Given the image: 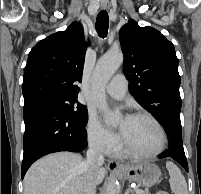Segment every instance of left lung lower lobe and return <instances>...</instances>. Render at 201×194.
Segmentation results:
<instances>
[{
    "mask_svg": "<svg viewBox=\"0 0 201 194\" xmlns=\"http://www.w3.org/2000/svg\"><path fill=\"white\" fill-rule=\"evenodd\" d=\"M169 136V149L159 155L160 158L171 157L177 161L186 171L188 164L182 142V128L179 117L169 116L161 123Z\"/></svg>",
    "mask_w": 201,
    "mask_h": 194,
    "instance_id": "0a47b994",
    "label": "left lung lower lobe"
}]
</instances>
